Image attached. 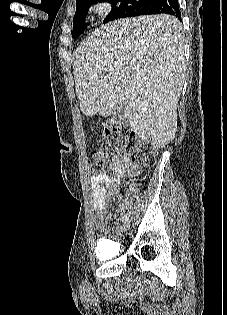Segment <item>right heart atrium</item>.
<instances>
[{"instance_id": "1", "label": "right heart atrium", "mask_w": 227, "mask_h": 315, "mask_svg": "<svg viewBox=\"0 0 227 315\" xmlns=\"http://www.w3.org/2000/svg\"><path fill=\"white\" fill-rule=\"evenodd\" d=\"M90 11L98 17H104L111 11V4L109 0H97L91 5Z\"/></svg>"}]
</instances>
